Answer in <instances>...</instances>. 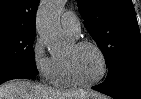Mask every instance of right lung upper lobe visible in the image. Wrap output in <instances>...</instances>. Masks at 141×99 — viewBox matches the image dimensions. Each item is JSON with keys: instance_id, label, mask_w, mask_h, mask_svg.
<instances>
[{"instance_id": "obj_1", "label": "right lung upper lobe", "mask_w": 141, "mask_h": 99, "mask_svg": "<svg viewBox=\"0 0 141 99\" xmlns=\"http://www.w3.org/2000/svg\"><path fill=\"white\" fill-rule=\"evenodd\" d=\"M39 0H0V28L35 30Z\"/></svg>"}]
</instances>
